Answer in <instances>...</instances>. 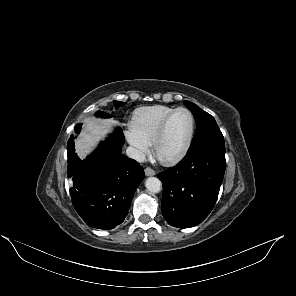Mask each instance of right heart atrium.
<instances>
[{
	"instance_id": "1",
	"label": "right heart atrium",
	"mask_w": 296,
	"mask_h": 296,
	"mask_svg": "<svg viewBox=\"0 0 296 296\" xmlns=\"http://www.w3.org/2000/svg\"><path fill=\"white\" fill-rule=\"evenodd\" d=\"M125 137L130 144L136 159L142 160L149 152V145L141 140L131 129L125 131Z\"/></svg>"
}]
</instances>
